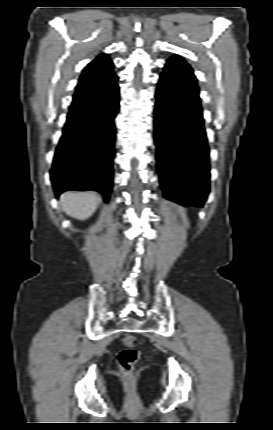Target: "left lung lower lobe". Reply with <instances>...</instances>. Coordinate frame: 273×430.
Returning <instances> with one entry per match:
<instances>
[{
    "label": "left lung lower lobe",
    "instance_id": "1",
    "mask_svg": "<svg viewBox=\"0 0 273 430\" xmlns=\"http://www.w3.org/2000/svg\"><path fill=\"white\" fill-rule=\"evenodd\" d=\"M185 73H162L156 91L155 143L165 198L202 207L209 193V147L199 94L181 88Z\"/></svg>",
    "mask_w": 273,
    "mask_h": 430
}]
</instances>
